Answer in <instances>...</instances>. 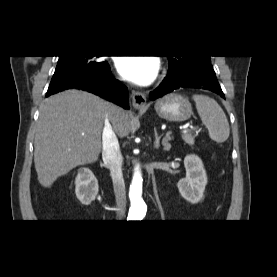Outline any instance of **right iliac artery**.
<instances>
[{
	"label": "right iliac artery",
	"instance_id": "1",
	"mask_svg": "<svg viewBox=\"0 0 277 277\" xmlns=\"http://www.w3.org/2000/svg\"><path fill=\"white\" fill-rule=\"evenodd\" d=\"M128 221H132L133 219H127Z\"/></svg>",
	"mask_w": 277,
	"mask_h": 277
}]
</instances>
